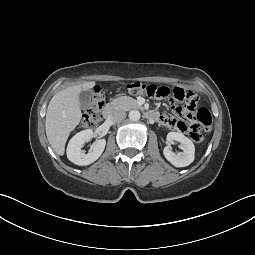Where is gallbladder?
I'll return each instance as SVG.
<instances>
[{
    "mask_svg": "<svg viewBox=\"0 0 255 255\" xmlns=\"http://www.w3.org/2000/svg\"><path fill=\"white\" fill-rule=\"evenodd\" d=\"M92 92L90 90L82 91L79 94L80 107L86 108L90 102Z\"/></svg>",
    "mask_w": 255,
    "mask_h": 255,
    "instance_id": "1",
    "label": "gallbladder"
}]
</instances>
